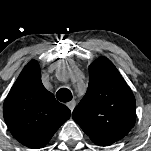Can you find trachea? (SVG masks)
Segmentation results:
<instances>
[{
    "instance_id": "obj_1",
    "label": "trachea",
    "mask_w": 151,
    "mask_h": 151,
    "mask_svg": "<svg viewBox=\"0 0 151 151\" xmlns=\"http://www.w3.org/2000/svg\"><path fill=\"white\" fill-rule=\"evenodd\" d=\"M56 98L61 102H69L72 100V93L67 88H61L56 93Z\"/></svg>"
}]
</instances>
